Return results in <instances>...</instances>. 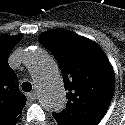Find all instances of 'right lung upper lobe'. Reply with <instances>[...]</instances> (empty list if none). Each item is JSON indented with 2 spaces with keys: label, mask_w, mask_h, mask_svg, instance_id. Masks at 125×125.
Listing matches in <instances>:
<instances>
[{
  "label": "right lung upper lobe",
  "mask_w": 125,
  "mask_h": 125,
  "mask_svg": "<svg viewBox=\"0 0 125 125\" xmlns=\"http://www.w3.org/2000/svg\"><path fill=\"white\" fill-rule=\"evenodd\" d=\"M23 38L0 36V125H15L26 104L25 95L20 92L17 76L8 64V56Z\"/></svg>",
  "instance_id": "1"
}]
</instances>
